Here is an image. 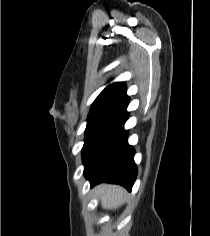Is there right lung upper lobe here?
I'll list each match as a JSON object with an SVG mask.
<instances>
[{
    "label": "right lung upper lobe",
    "instance_id": "obj_1",
    "mask_svg": "<svg viewBox=\"0 0 210 236\" xmlns=\"http://www.w3.org/2000/svg\"><path fill=\"white\" fill-rule=\"evenodd\" d=\"M122 92H126V85L123 82L110 84L100 93L94 102L114 99Z\"/></svg>",
    "mask_w": 210,
    "mask_h": 236
}]
</instances>
